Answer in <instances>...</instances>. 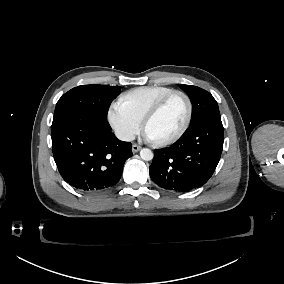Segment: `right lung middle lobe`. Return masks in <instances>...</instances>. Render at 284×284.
<instances>
[{"label":"right lung middle lobe","instance_id":"dd1d6c3e","mask_svg":"<svg viewBox=\"0 0 284 284\" xmlns=\"http://www.w3.org/2000/svg\"><path fill=\"white\" fill-rule=\"evenodd\" d=\"M120 89V86L108 85H83L71 89L57 102L52 124L77 112H90L107 118L110 104L119 95Z\"/></svg>","mask_w":284,"mask_h":284}]
</instances>
